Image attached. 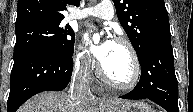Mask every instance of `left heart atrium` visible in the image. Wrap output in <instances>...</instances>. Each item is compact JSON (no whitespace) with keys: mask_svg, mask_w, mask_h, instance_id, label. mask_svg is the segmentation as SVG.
<instances>
[{"mask_svg":"<svg viewBox=\"0 0 193 112\" xmlns=\"http://www.w3.org/2000/svg\"><path fill=\"white\" fill-rule=\"evenodd\" d=\"M85 43L89 48L90 54L100 63L103 64L107 59L109 52L113 46V41L111 39H106L98 45L92 43L90 34H85Z\"/></svg>","mask_w":193,"mask_h":112,"instance_id":"left-heart-atrium-1","label":"left heart atrium"}]
</instances>
